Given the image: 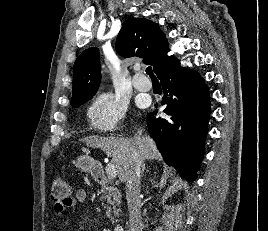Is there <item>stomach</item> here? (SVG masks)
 I'll return each instance as SVG.
<instances>
[{
	"instance_id": "0dacf381",
	"label": "stomach",
	"mask_w": 268,
	"mask_h": 231,
	"mask_svg": "<svg viewBox=\"0 0 268 231\" xmlns=\"http://www.w3.org/2000/svg\"><path fill=\"white\" fill-rule=\"evenodd\" d=\"M75 165L81 171L88 173H92L98 167L97 161H95L88 154L79 156L76 160Z\"/></svg>"
}]
</instances>
